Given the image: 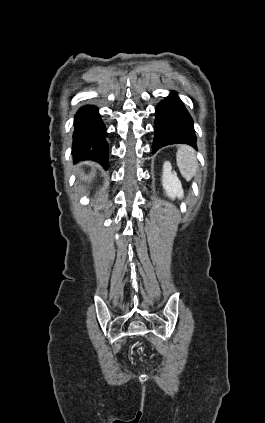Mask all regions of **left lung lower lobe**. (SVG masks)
<instances>
[{
    "label": "left lung lower lobe",
    "mask_w": 265,
    "mask_h": 423,
    "mask_svg": "<svg viewBox=\"0 0 265 423\" xmlns=\"http://www.w3.org/2000/svg\"><path fill=\"white\" fill-rule=\"evenodd\" d=\"M153 152L170 144L196 145L193 120L182 101L174 93L162 100L155 112Z\"/></svg>",
    "instance_id": "obj_1"
}]
</instances>
